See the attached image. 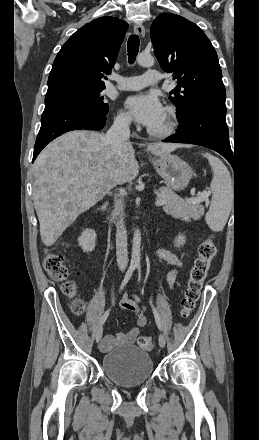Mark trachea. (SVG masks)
<instances>
[{
	"label": "trachea",
	"mask_w": 259,
	"mask_h": 440,
	"mask_svg": "<svg viewBox=\"0 0 259 440\" xmlns=\"http://www.w3.org/2000/svg\"><path fill=\"white\" fill-rule=\"evenodd\" d=\"M140 40L137 35H131L127 42L128 60L133 63L139 52Z\"/></svg>",
	"instance_id": "1"
}]
</instances>
